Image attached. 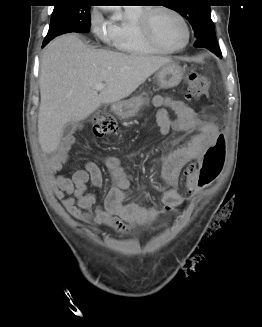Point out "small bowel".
I'll use <instances>...</instances> for the list:
<instances>
[{
	"label": "small bowel",
	"mask_w": 262,
	"mask_h": 327,
	"mask_svg": "<svg viewBox=\"0 0 262 327\" xmlns=\"http://www.w3.org/2000/svg\"><path fill=\"white\" fill-rule=\"evenodd\" d=\"M153 106L157 108L156 118L160 134L165 135L172 130L197 131L186 145L174 150L162 165V179L166 190L161 197V204L175 203L179 206L185 201V197L178 190L182 169L185 167L182 172L183 177H186L185 188L192 192L198 186L195 169L197 165L202 164L201 153H205L208 143H219L215 137L220 134L214 124L201 121L181 100L157 96L153 100ZM166 107L176 113L175 119L169 117ZM73 142L72 136H66L47 168L54 194L70 215L83 222L107 226L122 234L129 233L134 223H148L158 217V209L129 201L131 175L116 157L108 158L105 163L114 187L106 196L104 205L94 209L97 197L95 193L87 191V185L90 183L95 188L102 185V172L96 163L87 162L84 169L76 171L72 176L57 174L68 160V151Z\"/></svg>",
	"instance_id": "1"
}]
</instances>
